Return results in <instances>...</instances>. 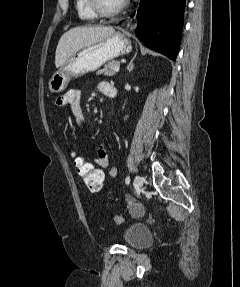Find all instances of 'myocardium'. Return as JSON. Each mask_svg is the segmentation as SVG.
I'll use <instances>...</instances> for the list:
<instances>
[{
  "label": "myocardium",
  "instance_id": "f54148a6",
  "mask_svg": "<svg viewBox=\"0 0 240 287\" xmlns=\"http://www.w3.org/2000/svg\"><path fill=\"white\" fill-rule=\"evenodd\" d=\"M89 2L94 13L101 17L116 16L121 13L127 5L126 0H123L116 8L108 10L102 6L101 0H89Z\"/></svg>",
  "mask_w": 240,
  "mask_h": 287
}]
</instances>
